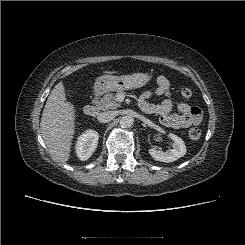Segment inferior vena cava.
<instances>
[{"label": "inferior vena cava", "instance_id": "obj_1", "mask_svg": "<svg viewBox=\"0 0 245 245\" xmlns=\"http://www.w3.org/2000/svg\"><path fill=\"white\" fill-rule=\"evenodd\" d=\"M115 116L116 114L114 111H106V112L99 113L97 119L101 123H107L113 120Z\"/></svg>", "mask_w": 245, "mask_h": 245}]
</instances>
